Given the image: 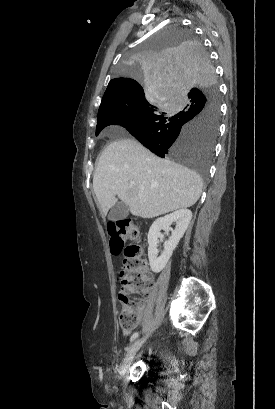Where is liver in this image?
I'll list each match as a JSON object with an SVG mask.
<instances>
[{"mask_svg": "<svg viewBox=\"0 0 275 409\" xmlns=\"http://www.w3.org/2000/svg\"><path fill=\"white\" fill-rule=\"evenodd\" d=\"M202 186L195 170L170 158H159L135 138L110 142L93 174L103 217L118 198L128 205L132 215L143 219L187 209L197 202Z\"/></svg>", "mask_w": 275, "mask_h": 409, "instance_id": "6515ba94", "label": "liver"}]
</instances>
